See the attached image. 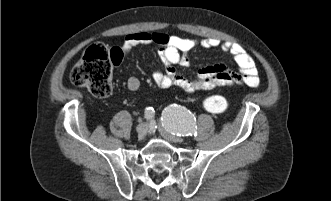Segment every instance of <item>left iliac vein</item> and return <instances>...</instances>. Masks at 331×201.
<instances>
[{
	"label": "left iliac vein",
	"mask_w": 331,
	"mask_h": 201,
	"mask_svg": "<svg viewBox=\"0 0 331 201\" xmlns=\"http://www.w3.org/2000/svg\"><path fill=\"white\" fill-rule=\"evenodd\" d=\"M161 135L168 141L170 142H182L183 141V138L182 137H179V136H176L166 130H161Z\"/></svg>",
	"instance_id": "1"
}]
</instances>
